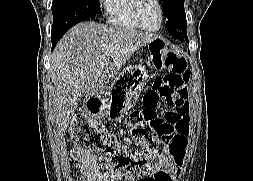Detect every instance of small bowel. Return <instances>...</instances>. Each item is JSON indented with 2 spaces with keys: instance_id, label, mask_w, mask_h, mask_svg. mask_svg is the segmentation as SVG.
Returning a JSON list of instances; mask_svg holds the SVG:
<instances>
[{
  "instance_id": "c3829d8e",
  "label": "small bowel",
  "mask_w": 253,
  "mask_h": 181,
  "mask_svg": "<svg viewBox=\"0 0 253 181\" xmlns=\"http://www.w3.org/2000/svg\"><path fill=\"white\" fill-rule=\"evenodd\" d=\"M189 109V104L187 106ZM174 130H180L174 142L175 154L179 156L168 161L164 167H150L151 175L142 179V181H172L183 166L185 161L186 149L188 146V135L191 130L188 117H181V120L174 125ZM71 157L75 163V169L80 177V181H134V175H114L100 170L95 160L87 153L78 149L71 151Z\"/></svg>"
}]
</instances>
